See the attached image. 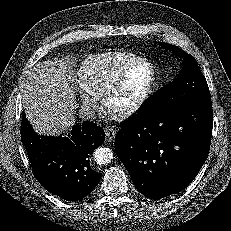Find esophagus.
Here are the masks:
<instances>
[{
	"label": "esophagus",
	"mask_w": 231,
	"mask_h": 231,
	"mask_svg": "<svg viewBox=\"0 0 231 231\" xmlns=\"http://www.w3.org/2000/svg\"><path fill=\"white\" fill-rule=\"evenodd\" d=\"M116 134H117V131L114 128H107L105 130V137H106V140L109 142L115 139Z\"/></svg>",
	"instance_id": "1"
}]
</instances>
